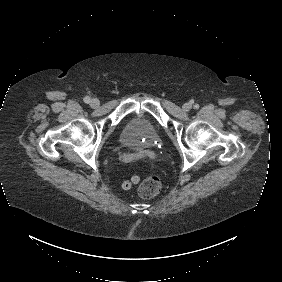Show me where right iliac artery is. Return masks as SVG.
I'll list each match as a JSON object with an SVG mask.
<instances>
[{
    "instance_id": "1",
    "label": "right iliac artery",
    "mask_w": 282,
    "mask_h": 282,
    "mask_svg": "<svg viewBox=\"0 0 282 282\" xmlns=\"http://www.w3.org/2000/svg\"><path fill=\"white\" fill-rule=\"evenodd\" d=\"M84 102L87 103V104L90 103V102H91L90 97L86 96V97L84 98Z\"/></svg>"
}]
</instances>
